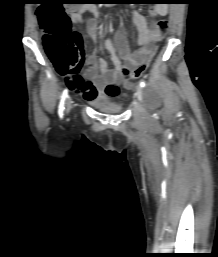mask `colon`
Wrapping results in <instances>:
<instances>
[{
  "instance_id": "1",
  "label": "colon",
  "mask_w": 218,
  "mask_h": 257,
  "mask_svg": "<svg viewBox=\"0 0 218 257\" xmlns=\"http://www.w3.org/2000/svg\"><path fill=\"white\" fill-rule=\"evenodd\" d=\"M75 5H42L37 11L43 33V45L56 70L71 79L80 75L83 65V40L80 33L72 31L70 19L64 10H75ZM147 69L142 63L129 74L127 87L140 78ZM105 98H120L124 89L117 83H104Z\"/></svg>"
}]
</instances>
